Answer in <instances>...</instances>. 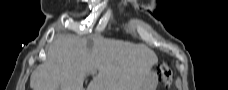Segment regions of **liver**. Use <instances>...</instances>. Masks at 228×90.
Here are the masks:
<instances>
[{
    "instance_id": "6515ba94",
    "label": "liver",
    "mask_w": 228,
    "mask_h": 90,
    "mask_svg": "<svg viewBox=\"0 0 228 90\" xmlns=\"http://www.w3.org/2000/svg\"><path fill=\"white\" fill-rule=\"evenodd\" d=\"M157 60L144 44L98 37L89 50L85 40L59 34L48 49L47 61L31 74L30 87L83 90L86 75L95 74L87 90H142Z\"/></svg>"
}]
</instances>
